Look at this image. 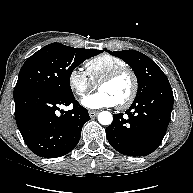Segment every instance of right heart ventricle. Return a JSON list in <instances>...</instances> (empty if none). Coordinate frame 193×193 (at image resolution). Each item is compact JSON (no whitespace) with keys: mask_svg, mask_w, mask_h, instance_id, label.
I'll return each mask as SVG.
<instances>
[{"mask_svg":"<svg viewBox=\"0 0 193 193\" xmlns=\"http://www.w3.org/2000/svg\"><path fill=\"white\" fill-rule=\"evenodd\" d=\"M127 66L123 59L111 54H100L85 63L86 73L95 84L111 71Z\"/></svg>","mask_w":193,"mask_h":193,"instance_id":"obj_1","label":"right heart ventricle"}]
</instances>
